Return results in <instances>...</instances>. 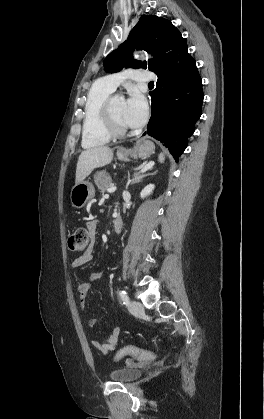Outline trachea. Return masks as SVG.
Returning a JSON list of instances; mask_svg holds the SVG:
<instances>
[{
	"label": "trachea",
	"instance_id": "1",
	"mask_svg": "<svg viewBox=\"0 0 264 419\" xmlns=\"http://www.w3.org/2000/svg\"><path fill=\"white\" fill-rule=\"evenodd\" d=\"M154 84V82H149V85H153Z\"/></svg>",
	"mask_w": 264,
	"mask_h": 419
}]
</instances>
